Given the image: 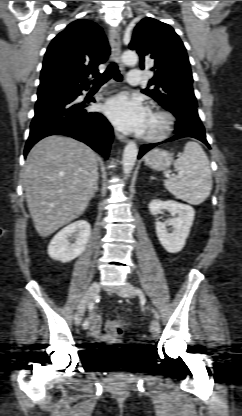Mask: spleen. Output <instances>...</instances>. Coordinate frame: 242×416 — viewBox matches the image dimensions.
I'll return each mask as SVG.
<instances>
[{
	"label": "spleen",
	"instance_id": "3e777b00",
	"mask_svg": "<svg viewBox=\"0 0 242 416\" xmlns=\"http://www.w3.org/2000/svg\"><path fill=\"white\" fill-rule=\"evenodd\" d=\"M174 168L179 170V174L166 179L165 188L176 198L190 204L204 202L212 189V176L202 147L196 142H187L182 155L174 162Z\"/></svg>",
	"mask_w": 242,
	"mask_h": 416
}]
</instances>
